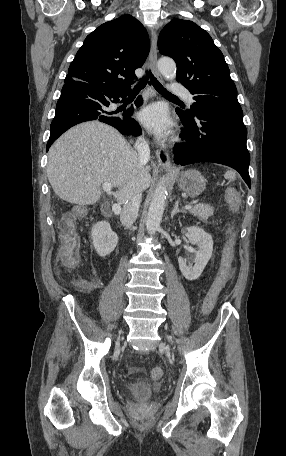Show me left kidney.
<instances>
[{
	"label": "left kidney",
	"instance_id": "5707ae66",
	"mask_svg": "<svg viewBox=\"0 0 286 456\" xmlns=\"http://www.w3.org/2000/svg\"><path fill=\"white\" fill-rule=\"evenodd\" d=\"M186 237L191 244H196L198 250L195 251L194 266L186 264V259L178 258L179 268L183 276L192 281L200 277L208 261L212 257L213 239L212 236L202 228L192 226L187 228Z\"/></svg>",
	"mask_w": 286,
	"mask_h": 456
}]
</instances>
